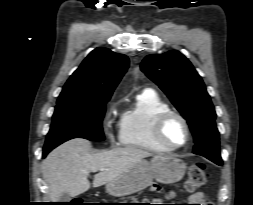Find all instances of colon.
<instances>
[{"label": "colon", "instance_id": "1", "mask_svg": "<svg viewBox=\"0 0 253 205\" xmlns=\"http://www.w3.org/2000/svg\"><path fill=\"white\" fill-rule=\"evenodd\" d=\"M209 180V174L206 170V166L201 163H195L189 168L188 178L184 184V191L187 193H193L197 189L205 186ZM71 205H84L81 201H75Z\"/></svg>", "mask_w": 253, "mask_h": 205}]
</instances>
